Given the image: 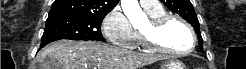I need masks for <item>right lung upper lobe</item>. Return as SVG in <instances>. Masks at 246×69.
Masks as SVG:
<instances>
[{"label":"right lung upper lobe","instance_id":"right-lung-upper-lobe-1","mask_svg":"<svg viewBox=\"0 0 246 69\" xmlns=\"http://www.w3.org/2000/svg\"><path fill=\"white\" fill-rule=\"evenodd\" d=\"M119 0H55L48 18L60 16H106Z\"/></svg>","mask_w":246,"mask_h":69}]
</instances>
